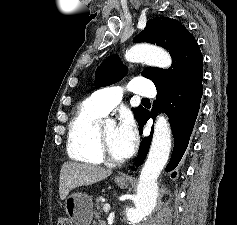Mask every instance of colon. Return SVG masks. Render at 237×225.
Returning a JSON list of instances; mask_svg holds the SVG:
<instances>
[{
  "instance_id": "1",
  "label": "colon",
  "mask_w": 237,
  "mask_h": 225,
  "mask_svg": "<svg viewBox=\"0 0 237 225\" xmlns=\"http://www.w3.org/2000/svg\"><path fill=\"white\" fill-rule=\"evenodd\" d=\"M56 225H72V223L69 218L62 216L57 220Z\"/></svg>"
}]
</instances>
